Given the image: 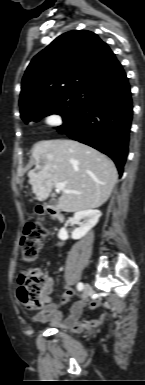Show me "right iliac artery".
<instances>
[{
	"label": "right iliac artery",
	"instance_id": "right-iliac-artery-1",
	"mask_svg": "<svg viewBox=\"0 0 145 385\" xmlns=\"http://www.w3.org/2000/svg\"><path fill=\"white\" fill-rule=\"evenodd\" d=\"M83 287H84V285H83V283H78V285H77V288H78V290H82L83 289Z\"/></svg>",
	"mask_w": 145,
	"mask_h": 385
}]
</instances>
